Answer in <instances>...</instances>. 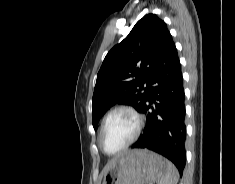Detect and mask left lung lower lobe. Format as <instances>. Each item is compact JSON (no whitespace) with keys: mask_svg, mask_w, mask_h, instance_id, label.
<instances>
[{"mask_svg":"<svg viewBox=\"0 0 235 184\" xmlns=\"http://www.w3.org/2000/svg\"><path fill=\"white\" fill-rule=\"evenodd\" d=\"M177 49L168 35L151 76L141 112L146 128L132 148H146L169 159L180 172L185 167V110Z\"/></svg>","mask_w":235,"mask_h":184,"instance_id":"obj_1","label":"left lung lower lobe"}]
</instances>
